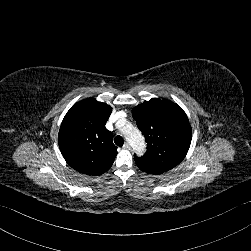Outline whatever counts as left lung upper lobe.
<instances>
[{"label":"left lung upper lobe","mask_w":251,"mask_h":251,"mask_svg":"<svg viewBox=\"0 0 251 251\" xmlns=\"http://www.w3.org/2000/svg\"><path fill=\"white\" fill-rule=\"evenodd\" d=\"M132 116L147 142V151L139 159L172 169L185 158L192 130L187 115L177 104L152 98L134 107Z\"/></svg>","instance_id":"1"}]
</instances>
